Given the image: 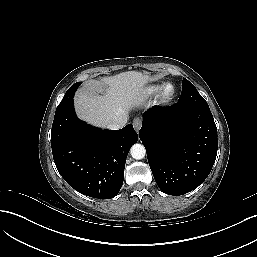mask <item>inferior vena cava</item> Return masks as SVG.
<instances>
[{
    "instance_id": "inferior-vena-cava-1",
    "label": "inferior vena cava",
    "mask_w": 257,
    "mask_h": 257,
    "mask_svg": "<svg viewBox=\"0 0 257 257\" xmlns=\"http://www.w3.org/2000/svg\"><path fill=\"white\" fill-rule=\"evenodd\" d=\"M128 115L126 113H122L119 115L118 119L114 122L107 124V128L110 130H118L121 129L127 123Z\"/></svg>"
}]
</instances>
